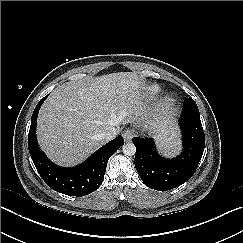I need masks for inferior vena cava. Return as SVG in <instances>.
<instances>
[{"instance_id": "602c4592", "label": "inferior vena cava", "mask_w": 243, "mask_h": 243, "mask_svg": "<svg viewBox=\"0 0 243 243\" xmlns=\"http://www.w3.org/2000/svg\"><path fill=\"white\" fill-rule=\"evenodd\" d=\"M118 131L116 128L112 127L106 133L100 135V138L106 141L112 140L116 137Z\"/></svg>"}]
</instances>
